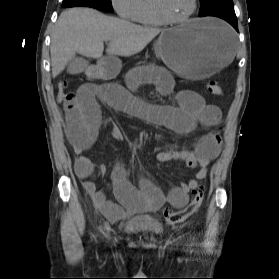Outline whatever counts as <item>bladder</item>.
<instances>
[{
  "label": "bladder",
  "instance_id": "1",
  "mask_svg": "<svg viewBox=\"0 0 279 279\" xmlns=\"http://www.w3.org/2000/svg\"><path fill=\"white\" fill-rule=\"evenodd\" d=\"M124 229L133 234L140 232L158 234L162 229V225L153 216H140L128 219L124 224Z\"/></svg>",
  "mask_w": 279,
  "mask_h": 279
}]
</instances>
